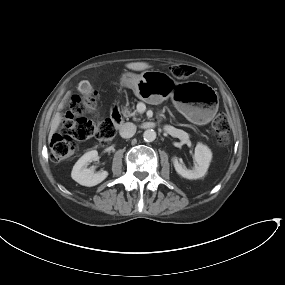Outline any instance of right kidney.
<instances>
[{
  "instance_id": "obj_1",
  "label": "right kidney",
  "mask_w": 285,
  "mask_h": 285,
  "mask_svg": "<svg viewBox=\"0 0 285 285\" xmlns=\"http://www.w3.org/2000/svg\"><path fill=\"white\" fill-rule=\"evenodd\" d=\"M98 160V152L96 150L85 153L73 166L71 177L77 183L83 186L91 187L101 183L108 176L107 171H99L94 173L87 166L92 161Z\"/></svg>"
}]
</instances>
